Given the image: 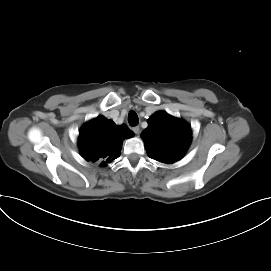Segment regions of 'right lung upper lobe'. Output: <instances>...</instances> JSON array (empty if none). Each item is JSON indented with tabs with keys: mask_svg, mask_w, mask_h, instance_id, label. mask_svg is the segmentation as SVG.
<instances>
[{
	"mask_svg": "<svg viewBox=\"0 0 271 271\" xmlns=\"http://www.w3.org/2000/svg\"><path fill=\"white\" fill-rule=\"evenodd\" d=\"M133 135L126 125L116 126L113 121L98 116L82 127L78 146L84 159L106 166L119 157L123 139Z\"/></svg>",
	"mask_w": 271,
	"mask_h": 271,
	"instance_id": "obj_1",
	"label": "right lung upper lobe"
}]
</instances>
